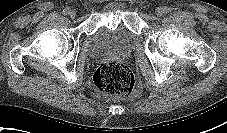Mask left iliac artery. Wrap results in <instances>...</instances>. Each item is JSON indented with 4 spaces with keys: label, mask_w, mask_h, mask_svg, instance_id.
<instances>
[{
    "label": "left iliac artery",
    "mask_w": 227,
    "mask_h": 133,
    "mask_svg": "<svg viewBox=\"0 0 227 133\" xmlns=\"http://www.w3.org/2000/svg\"><path fill=\"white\" fill-rule=\"evenodd\" d=\"M165 13H169L171 9L169 7H164Z\"/></svg>",
    "instance_id": "44dca946"
}]
</instances>
